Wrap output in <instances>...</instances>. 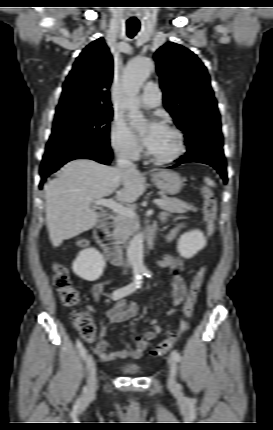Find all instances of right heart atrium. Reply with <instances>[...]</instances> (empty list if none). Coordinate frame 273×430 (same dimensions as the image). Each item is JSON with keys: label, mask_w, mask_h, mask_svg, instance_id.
I'll return each instance as SVG.
<instances>
[{"label": "right heart atrium", "mask_w": 273, "mask_h": 430, "mask_svg": "<svg viewBox=\"0 0 273 430\" xmlns=\"http://www.w3.org/2000/svg\"><path fill=\"white\" fill-rule=\"evenodd\" d=\"M110 138L111 146L118 156L136 159L140 155V145L123 122L115 121L112 124Z\"/></svg>", "instance_id": "obj_1"}]
</instances>
